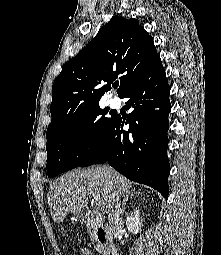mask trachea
Listing matches in <instances>:
<instances>
[{
  "instance_id": "obj_1",
  "label": "trachea",
  "mask_w": 221,
  "mask_h": 255,
  "mask_svg": "<svg viewBox=\"0 0 221 255\" xmlns=\"http://www.w3.org/2000/svg\"><path fill=\"white\" fill-rule=\"evenodd\" d=\"M118 87V84L114 85V88H117Z\"/></svg>"
}]
</instances>
